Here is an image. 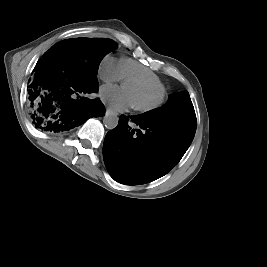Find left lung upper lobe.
I'll return each instance as SVG.
<instances>
[{
	"mask_svg": "<svg viewBox=\"0 0 267 267\" xmlns=\"http://www.w3.org/2000/svg\"><path fill=\"white\" fill-rule=\"evenodd\" d=\"M144 121L172 123L196 131V115L187 91L174 93L166 104L138 115Z\"/></svg>",
	"mask_w": 267,
	"mask_h": 267,
	"instance_id": "obj_1",
	"label": "left lung upper lobe"
}]
</instances>
